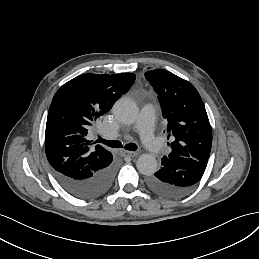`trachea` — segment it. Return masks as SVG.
Segmentation results:
<instances>
[{
	"mask_svg": "<svg viewBox=\"0 0 259 259\" xmlns=\"http://www.w3.org/2000/svg\"><path fill=\"white\" fill-rule=\"evenodd\" d=\"M97 142L103 143L111 148H123V145L120 141L117 140H105L102 137H98ZM124 149L130 150V151H136L137 145L134 143H128L124 146Z\"/></svg>",
	"mask_w": 259,
	"mask_h": 259,
	"instance_id": "3493384b",
	"label": "trachea"
}]
</instances>
